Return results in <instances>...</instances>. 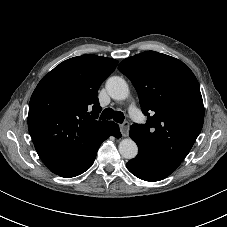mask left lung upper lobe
Instances as JSON below:
<instances>
[{
	"mask_svg": "<svg viewBox=\"0 0 227 227\" xmlns=\"http://www.w3.org/2000/svg\"><path fill=\"white\" fill-rule=\"evenodd\" d=\"M118 69L135 86L142 111L148 116L145 124L130 127L136 144L180 163L204 121V105L195 75L180 60L155 51L126 58Z\"/></svg>",
	"mask_w": 227,
	"mask_h": 227,
	"instance_id": "1",
	"label": "left lung upper lobe"
}]
</instances>
